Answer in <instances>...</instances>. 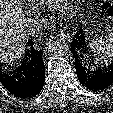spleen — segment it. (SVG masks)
Wrapping results in <instances>:
<instances>
[{"label": "spleen", "instance_id": "spleen-1", "mask_svg": "<svg viewBox=\"0 0 113 113\" xmlns=\"http://www.w3.org/2000/svg\"><path fill=\"white\" fill-rule=\"evenodd\" d=\"M90 48L94 52L95 63L102 64L105 62L107 65L112 60L113 56V33L100 36L96 40H93L90 43Z\"/></svg>", "mask_w": 113, "mask_h": 113}]
</instances>
